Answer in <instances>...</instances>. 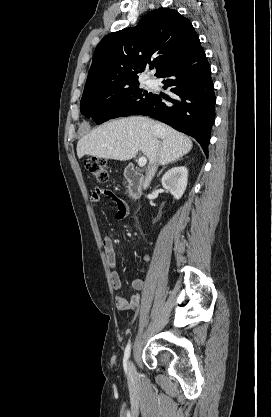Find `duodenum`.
Returning <instances> with one entry per match:
<instances>
[{
	"instance_id": "410a0bca",
	"label": "duodenum",
	"mask_w": 272,
	"mask_h": 417,
	"mask_svg": "<svg viewBox=\"0 0 272 417\" xmlns=\"http://www.w3.org/2000/svg\"><path fill=\"white\" fill-rule=\"evenodd\" d=\"M124 176L129 183V197L134 200L140 197L144 187V175L133 165L124 168Z\"/></svg>"
}]
</instances>
